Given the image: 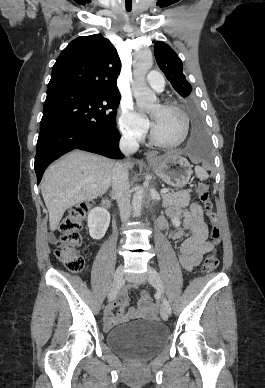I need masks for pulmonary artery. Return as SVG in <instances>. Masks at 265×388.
<instances>
[{
  "label": "pulmonary artery",
  "mask_w": 265,
  "mask_h": 388,
  "mask_svg": "<svg viewBox=\"0 0 265 388\" xmlns=\"http://www.w3.org/2000/svg\"><path fill=\"white\" fill-rule=\"evenodd\" d=\"M152 73L151 71L149 72ZM149 86H154L155 90H162L164 85V80L161 75H150L148 80Z\"/></svg>",
  "instance_id": "pulmonary-artery-1"
}]
</instances>
